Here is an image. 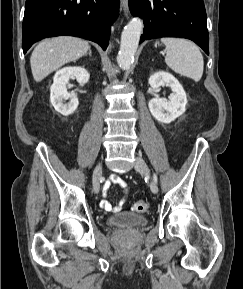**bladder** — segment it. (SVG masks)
I'll use <instances>...</instances> for the list:
<instances>
[{
  "mask_svg": "<svg viewBox=\"0 0 243 289\" xmlns=\"http://www.w3.org/2000/svg\"><path fill=\"white\" fill-rule=\"evenodd\" d=\"M147 222L145 216L128 211L114 214L108 219L109 226L118 229L140 228L145 226Z\"/></svg>",
  "mask_w": 243,
  "mask_h": 289,
  "instance_id": "obj_1",
  "label": "bladder"
}]
</instances>
